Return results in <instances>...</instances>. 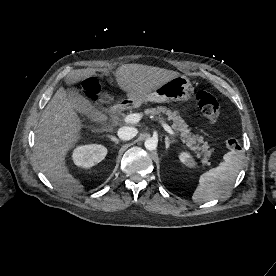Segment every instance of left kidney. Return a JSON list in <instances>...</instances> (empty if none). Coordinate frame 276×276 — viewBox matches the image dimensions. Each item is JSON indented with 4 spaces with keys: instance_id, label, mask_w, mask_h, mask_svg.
Here are the masks:
<instances>
[{
    "instance_id": "5707ae66",
    "label": "left kidney",
    "mask_w": 276,
    "mask_h": 276,
    "mask_svg": "<svg viewBox=\"0 0 276 276\" xmlns=\"http://www.w3.org/2000/svg\"><path fill=\"white\" fill-rule=\"evenodd\" d=\"M179 159H180V161H181L183 164H185V165H187V166H189V167L195 166V162H194L193 158H192L191 155H190L189 153H187V152H182V153H180Z\"/></svg>"
}]
</instances>
